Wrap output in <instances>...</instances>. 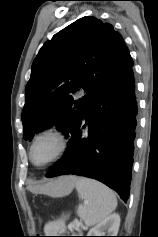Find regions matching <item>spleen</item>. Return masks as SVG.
<instances>
[{"instance_id": "1", "label": "spleen", "mask_w": 158, "mask_h": 237, "mask_svg": "<svg viewBox=\"0 0 158 237\" xmlns=\"http://www.w3.org/2000/svg\"><path fill=\"white\" fill-rule=\"evenodd\" d=\"M75 187L84 200L77 210L78 216L87 226H94L103 221L117 206L115 193L104 184L85 177L77 178ZM69 229L71 226L68 227ZM66 230L65 217L48 222L44 231L47 235L56 236Z\"/></svg>"}]
</instances>
